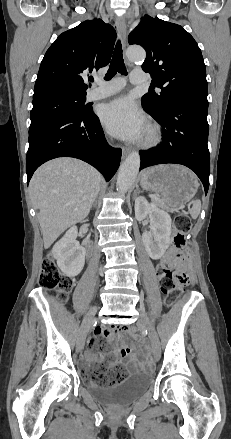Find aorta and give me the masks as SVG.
Here are the masks:
<instances>
[{"mask_svg":"<svg viewBox=\"0 0 231 439\" xmlns=\"http://www.w3.org/2000/svg\"><path fill=\"white\" fill-rule=\"evenodd\" d=\"M127 57L132 62L144 61L146 53L141 47H129ZM140 168V155L138 152H132L121 164L116 187L119 193H125L132 186Z\"/></svg>","mask_w":231,"mask_h":439,"instance_id":"762f6f07","label":"aorta"}]
</instances>
